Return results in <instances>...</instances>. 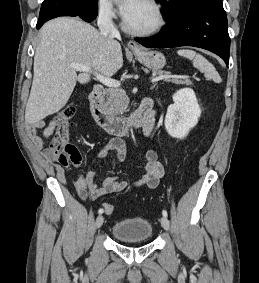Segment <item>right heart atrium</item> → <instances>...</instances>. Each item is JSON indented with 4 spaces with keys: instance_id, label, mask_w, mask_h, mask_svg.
<instances>
[{
    "instance_id": "right-heart-atrium-1",
    "label": "right heart atrium",
    "mask_w": 259,
    "mask_h": 283,
    "mask_svg": "<svg viewBox=\"0 0 259 283\" xmlns=\"http://www.w3.org/2000/svg\"><path fill=\"white\" fill-rule=\"evenodd\" d=\"M97 13L103 19H112L115 10L110 0H97Z\"/></svg>"
}]
</instances>
